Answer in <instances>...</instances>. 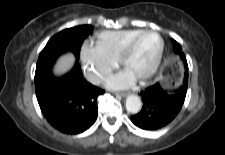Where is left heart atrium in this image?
Returning <instances> with one entry per match:
<instances>
[{"mask_svg":"<svg viewBox=\"0 0 225 155\" xmlns=\"http://www.w3.org/2000/svg\"><path fill=\"white\" fill-rule=\"evenodd\" d=\"M135 81L136 78L131 73L124 70L108 78L106 81V86L112 89L126 88L134 84Z\"/></svg>","mask_w":225,"mask_h":155,"instance_id":"1","label":"left heart atrium"}]
</instances>
